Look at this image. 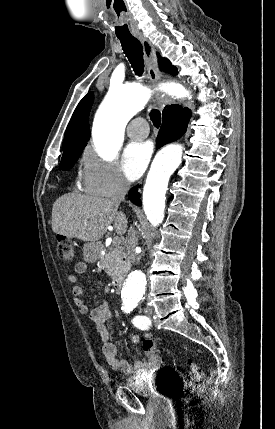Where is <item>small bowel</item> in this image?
Returning a JSON list of instances; mask_svg holds the SVG:
<instances>
[{"label": "small bowel", "mask_w": 275, "mask_h": 429, "mask_svg": "<svg viewBox=\"0 0 275 429\" xmlns=\"http://www.w3.org/2000/svg\"><path fill=\"white\" fill-rule=\"evenodd\" d=\"M87 270V264L84 262L77 263L74 267L75 274L68 276V281L74 284L72 293H73V302L78 308L80 314H88L90 320L95 325L96 330L98 331L101 340L103 342V354L109 363V365L116 371L130 377H140L145 373L154 371L157 368V363L152 360L147 361H128L119 357V346L117 343L110 340V333L108 330V324L112 319L111 310L106 302H103L93 310L89 311V308L84 299V291L81 286L77 285V274H82ZM130 340L139 344L146 341H153L151 338L147 337L145 339H140L136 335H130Z\"/></svg>", "instance_id": "1"}]
</instances>
